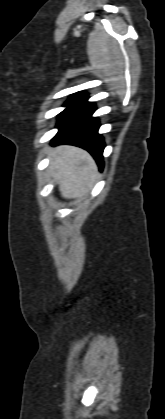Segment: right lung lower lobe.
<instances>
[{
    "label": "right lung lower lobe",
    "instance_id": "1",
    "mask_svg": "<svg viewBox=\"0 0 165 419\" xmlns=\"http://www.w3.org/2000/svg\"><path fill=\"white\" fill-rule=\"evenodd\" d=\"M95 111L94 103L87 102V98L69 105L58 115L59 132L53 138V145L71 144L89 151L97 161L100 169L103 168V137L98 134L99 122L92 117Z\"/></svg>",
    "mask_w": 165,
    "mask_h": 419
}]
</instances>
